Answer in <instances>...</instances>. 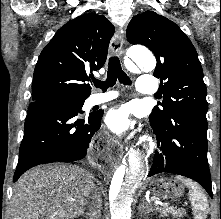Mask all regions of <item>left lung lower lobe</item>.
<instances>
[{"label": "left lung lower lobe", "instance_id": "obj_1", "mask_svg": "<svg viewBox=\"0 0 221 219\" xmlns=\"http://www.w3.org/2000/svg\"><path fill=\"white\" fill-rule=\"evenodd\" d=\"M151 126L158 150L148 176L168 172L191 178L212 197L211 177L207 160V120L187 112H175L163 122Z\"/></svg>", "mask_w": 221, "mask_h": 219}]
</instances>
